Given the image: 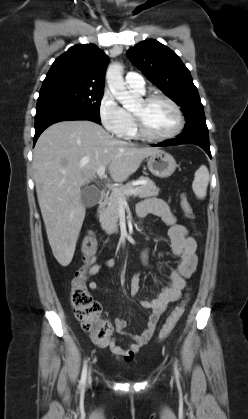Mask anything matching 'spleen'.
Listing matches in <instances>:
<instances>
[{"label": "spleen", "instance_id": "1", "mask_svg": "<svg viewBox=\"0 0 248 419\" xmlns=\"http://www.w3.org/2000/svg\"><path fill=\"white\" fill-rule=\"evenodd\" d=\"M209 182V171L205 165L199 167L195 172L192 189L197 198L203 199L206 196L207 186Z\"/></svg>", "mask_w": 248, "mask_h": 419}]
</instances>
